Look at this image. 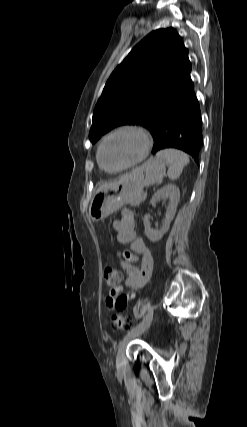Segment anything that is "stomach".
<instances>
[{"mask_svg": "<svg viewBox=\"0 0 247 427\" xmlns=\"http://www.w3.org/2000/svg\"><path fill=\"white\" fill-rule=\"evenodd\" d=\"M164 176V160L149 158L114 186L101 188L96 192L89 206L90 218L94 222L105 219L122 206L132 203L142 195L144 187L161 181Z\"/></svg>", "mask_w": 247, "mask_h": 427, "instance_id": "obj_1", "label": "stomach"}]
</instances>
